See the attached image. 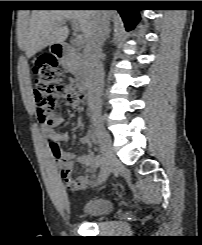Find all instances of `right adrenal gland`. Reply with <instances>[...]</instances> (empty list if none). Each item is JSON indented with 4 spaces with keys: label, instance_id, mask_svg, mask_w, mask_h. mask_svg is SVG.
Wrapping results in <instances>:
<instances>
[{
    "label": "right adrenal gland",
    "instance_id": "1",
    "mask_svg": "<svg viewBox=\"0 0 202 245\" xmlns=\"http://www.w3.org/2000/svg\"><path fill=\"white\" fill-rule=\"evenodd\" d=\"M110 32H111V30L108 31V33H107V35H106V39L110 38ZM106 39H105V40H106Z\"/></svg>",
    "mask_w": 202,
    "mask_h": 245
}]
</instances>
